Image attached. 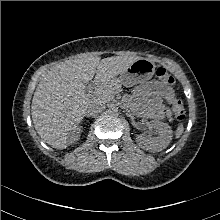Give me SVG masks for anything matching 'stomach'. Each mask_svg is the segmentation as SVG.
Here are the masks:
<instances>
[{"instance_id":"0dacf381","label":"stomach","mask_w":220,"mask_h":220,"mask_svg":"<svg viewBox=\"0 0 220 220\" xmlns=\"http://www.w3.org/2000/svg\"><path fill=\"white\" fill-rule=\"evenodd\" d=\"M155 68L153 61L145 58L138 59L121 74L120 80L126 86L145 83L153 77Z\"/></svg>"}]
</instances>
